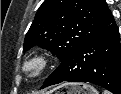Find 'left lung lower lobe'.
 Listing matches in <instances>:
<instances>
[{"instance_id":"1","label":"left lung lower lobe","mask_w":121,"mask_h":94,"mask_svg":"<svg viewBox=\"0 0 121 94\" xmlns=\"http://www.w3.org/2000/svg\"><path fill=\"white\" fill-rule=\"evenodd\" d=\"M64 81L90 82L121 94V45L114 21L65 58L41 89Z\"/></svg>"}]
</instances>
